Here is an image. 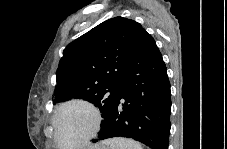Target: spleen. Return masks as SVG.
<instances>
[{
    "label": "spleen",
    "instance_id": "3e777b00",
    "mask_svg": "<svg viewBox=\"0 0 227 149\" xmlns=\"http://www.w3.org/2000/svg\"><path fill=\"white\" fill-rule=\"evenodd\" d=\"M110 149H142L140 143L127 138L117 137L104 142Z\"/></svg>",
    "mask_w": 227,
    "mask_h": 149
}]
</instances>
